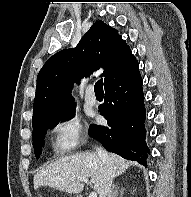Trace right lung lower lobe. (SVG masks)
Instances as JSON below:
<instances>
[{
  "mask_svg": "<svg viewBox=\"0 0 191 197\" xmlns=\"http://www.w3.org/2000/svg\"><path fill=\"white\" fill-rule=\"evenodd\" d=\"M99 111L108 125L91 124L89 135L107 151L146 166L150 151L145 142V107L139 65L105 85L104 104Z\"/></svg>",
  "mask_w": 191,
  "mask_h": 197,
  "instance_id": "obj_1",
  "label": "right lung lower lobe"
}]
</instances>
